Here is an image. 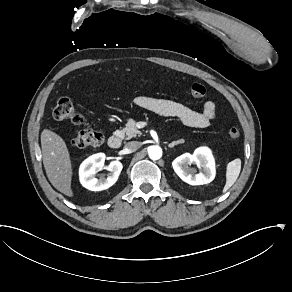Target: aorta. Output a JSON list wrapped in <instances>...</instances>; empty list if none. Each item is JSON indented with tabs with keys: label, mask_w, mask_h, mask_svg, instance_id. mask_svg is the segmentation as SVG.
Masks as SVG:
<instances>
[{
	"label": "aorta",
	"mask_w": 292,
	"mask_h": 292,
	"mask_svg": "<svg viewBox=\"0 0 292 292\" xmlns=\"http://www.w3.org/2000/svg\"><path fill=\"white\" fill-rule=\"evenodd\" d=\"M148 154L152 160H158L162 156V149L159 146H150L148 148Z\"/></svg>",
	"instance_id": "obj_1"
}]
</instances>
